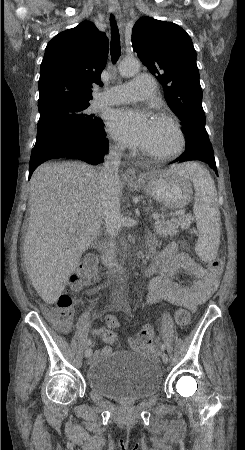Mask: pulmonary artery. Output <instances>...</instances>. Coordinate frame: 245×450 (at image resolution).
Returning a JSON list of instances; mask_svg holds the SVG:
<instances>
[{"instance_id":"e3ab8cb5","label":"pulmonary artery","mask_w":245,"mask_h":450,"mask_svg":"<svg viewBox=\"0 0 245 450\" xmlns=\"http://www.w3.org/2000/svg\"><path fill=\"white\" fill-rule=\"evenodd\" d=\"M156 94L154 78L140 75L131 81L111 87L108 91L98 95V102L102 104H119L152 97Z\"/></svg>"}]
</instances>
